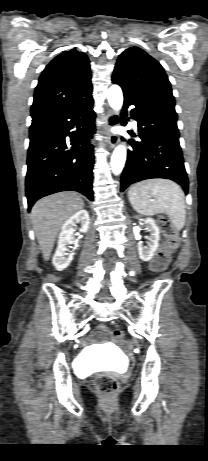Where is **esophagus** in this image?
<instances>
[{"mask_svg": "<svg viewBox=\"0 0 208 461\" xmlns=\"http://www.w3.org/2000/svg\"><path fill=\"white\" fill-rule=\"evenodd\" d=\"M116 123H117L116 113L115 112L108 113L106 116V120H105L104 133L106 136L107 146L109 148H114L119 141L118 135L112 133L111 131V128Z\"/></svg>", "mask_w": 208, "mask_h": 461, "instance_id": "esophagus-1", "label": "esophagus"}]
</instances>
